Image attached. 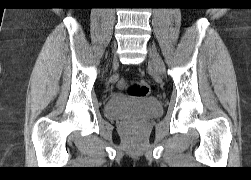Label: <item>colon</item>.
<instances>
[{
  "instance_id": "obj_1",
  "label": "colon",
  "mask_w": 251,
  "mask_h": 180,
  "mask_svg": "<svg viewBox=\"0 0 251 180\" xmlns=\"http://www.w3.org/2000/svg\"><path fill=\"white\" fill-rule=\"evenodd\" d=\"M150 91L151 87L149 83L143 80L133 82L128 88L129 94L134 97H146Z\"/></svg>"
}]
</instances>
